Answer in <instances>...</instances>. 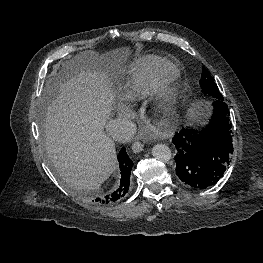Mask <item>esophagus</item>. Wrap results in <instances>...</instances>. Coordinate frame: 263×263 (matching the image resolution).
Here are the masks:
<instances>
[{"label":"esophagus","instance_id":"1","mask_svg":"<svg viewBox=\"0 0 263 263\" xmlns=\"http://www.w3.org/2000/svg\"><path fill=\"white\" fill-rule=\"evenodd\" d=\"M132 150L134 153H139L143 150V143L140 140H136L132 145Z\"/></svg>","mask_w":263,"mask_h":263}]
</instances>
